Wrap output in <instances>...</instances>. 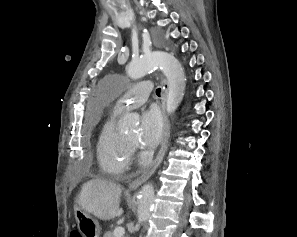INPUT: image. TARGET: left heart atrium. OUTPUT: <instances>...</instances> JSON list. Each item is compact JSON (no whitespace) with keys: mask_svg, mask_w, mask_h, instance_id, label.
<instances>
[{"mask_svg":"<svg viewBox=\"0 0 297 237\" xmlns=\"http://www.w3.org/2000/svg\"><path fill=\"white\" fill-rule=\"evenodd\" d=\"M164 122L160 111L156 107L144 110L140 118V128L137 142L146 149L156 147L163 136Z\"/></svg>","mask_w":297,"mask_h":237,"instance_id":"39dd6f15","label":"left heart atrium"}]
</instances>
